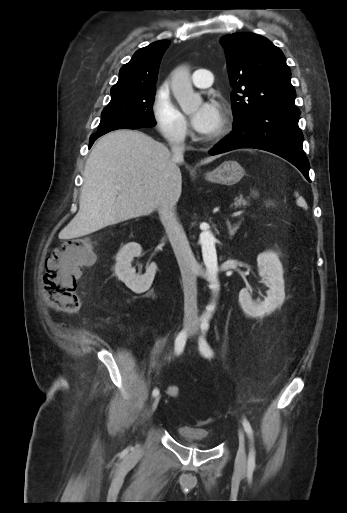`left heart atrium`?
I'll return each instance as SVG.
<instances>
[{
	"label": "left heart atrium",
	"instance_id": "1",
	"mask_svg": "<svg viewBox=\"0 0 347 513\" xmlns=\"http://www.w3.org/2000/svg\"><path fill=\"white\" fill-rule=\"evenodd\" d=\"M222 122V111L214 101L203 102L193 114L191 123L200 134L213 132Z\"/></svg>",
	"mask_w": 347,
	"mask_h": 513
}]
</instances>
